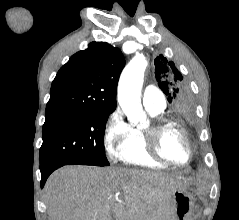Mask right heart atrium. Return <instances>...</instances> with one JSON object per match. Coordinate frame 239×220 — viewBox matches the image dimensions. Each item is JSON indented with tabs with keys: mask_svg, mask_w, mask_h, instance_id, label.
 <instances>
[{
	"mask_svg": "<svg viewBox=\"0 0 239 220\" xmlns=\"http://www.w3.org/2000/svg\"><path fill=\"white\" fill-rule=\"evenodd\" d=\"M131 139L132 127L117 107L109 114L103 132V142L108 155L112 159H119L121 150Z\"/></svg>",
	"mask_w": 239,
	"mask_h": 220,
	"instance_id": "obj_1",
	"label": "right heart atrium"
}]
</instances>
